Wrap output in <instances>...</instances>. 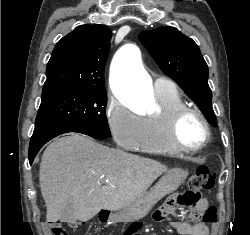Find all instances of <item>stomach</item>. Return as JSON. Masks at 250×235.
<instances>
[{
	"label": "stomach",
	"instance_id": "1",
	"mask_svg": "<svg viewBox=\"0 0 250 235\" xmlns=\"http://www.w3.org/2000/svg\"><path fill=\"white\" fill-rule=\"evenodd\" d=\"M188 173L181 168L169 170L148 192L143 194L128 207L113 215L117 222H132L145 217L153 206L164 196L176 191L185 181Z\"/></svg>",
	"mask_w": 250,
	"mask_h": 235
}]
</instances>
